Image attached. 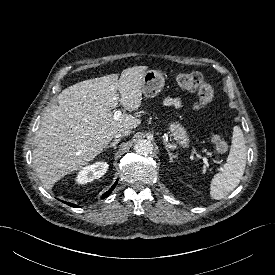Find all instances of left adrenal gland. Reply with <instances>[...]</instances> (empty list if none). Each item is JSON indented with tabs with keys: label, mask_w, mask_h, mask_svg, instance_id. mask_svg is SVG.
<instances>
[{
	"label": "left adrenal gland",
	"mask_w": 275,
	"mask_h": 275,
	"mask_svg": "<svg viewBox=\"0 0 275 275\" xmlns=\"http://www.w3.org/2000/svg\"><path fill=\"white\" fill-rule=\"evenodd\" d=\"M166 150H167V152H168L170 161L173 162V158H175V156L169 151V149H168L167 146H166Z\"/></svg>",
	"instance_id": "obj_1"
}]
</instances>
